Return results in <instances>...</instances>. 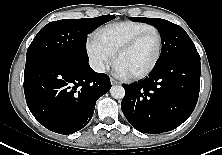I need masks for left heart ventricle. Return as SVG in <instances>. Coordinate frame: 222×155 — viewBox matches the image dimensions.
I'll return each instance as SVG.
<instances>
[{"label": "left heart ventricle", "instance_id": "obj_1", "mask_svg": "<svg viewBox=\"0 0 222 155\" xmlns=\"http://www.w3.org/2000/svg\"><path fill=\"white\" fill-rule=\"evenodd\" d=\"M158 51V37L150 33L139 41L132 49L123 53L118 61L129 75L146 70L155 60Z\"/></svg>", "mask_w": 222, "mask_h": 155}]
</instances>
